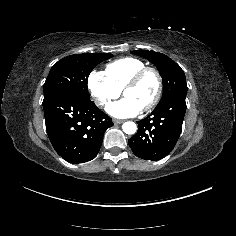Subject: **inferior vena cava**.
<instances>
[{
    "instance_id": "obj_1",
    "label": "inferior vena cava",
    "mask_w": 236,
    "mask_h": 236,
    "mask_svg": "<svg viewBox=\"0 0 236 236\" xmlns=\"http://www.w3.org/2000/svg\"><path fill=\"white\" fill-rule=\"evenodd\" d=\"M95 104L97 107L104 106L105 100L104 99H95Z\"/></svg>"
}]
</instances>
